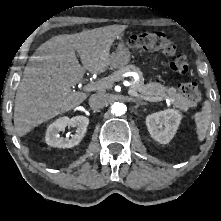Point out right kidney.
<instances>
[{"label": "right kidney", "mask_w": 221, "mask_h": 221, "mask_svg": "<svg viewBox=\"0 0 221 221\" xmlns=\"http://www.w3.org/2000/svg\"><path fill=\"white\" fill-rule=\"evenodd\" d=\"M89 119L85 116L60 117L50 124L46 131L45 141L47 145L58 148H71L80 143L84 137ZM67 126L76 127V133L71 137H61L59 132L64 131Z\"/></svg>", "instance_id": "ca27d5eb"}]
</instances>
